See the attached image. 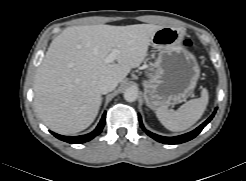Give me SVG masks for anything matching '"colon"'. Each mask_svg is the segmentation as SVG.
<instances>
[{"mask_svg": "<svg viewBox=\"0 0 246 181\" xmlns=\"http://www.w3.org/2000/svg\"><path fill=\"white\" fill-rule=\"evenodd\" d=\"M184 44H185L186 46H188V45H189V41H185Z\"/></svg>", "mask_w": 246, "mask_h": 181, "instance_id": "obj_1", "label": "colon"}]
</instances>
